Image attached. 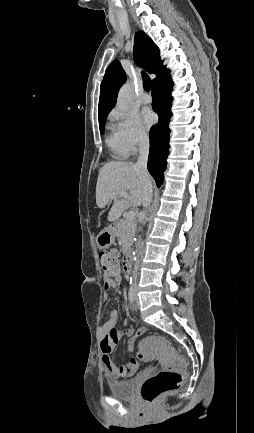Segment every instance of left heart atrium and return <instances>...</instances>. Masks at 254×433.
Masks as SVG:
<instances>
[{
	"label": "left heart atrium",
	"instance_id": "obj_1",
	"mask_svg": "<svg viewBox=\"0 0 254 433\" xmlns=\"http://www.w3.org/2000/svg\"><path fill=\"white\" fill-rule=\"evenodd\" d=\"M143 120L147 126H150L155 122V116L151 111L146 110L143 112Z\"/></svg>",
	"mask_w": 254,
	"mask_h": 433
}]
</instances>
